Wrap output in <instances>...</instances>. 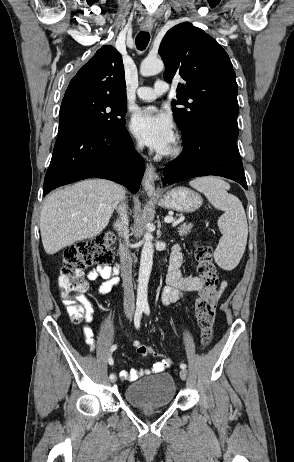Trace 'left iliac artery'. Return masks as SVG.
Instances as JSON below:
<instances>
[{"mask_svg":"<svg viewBox=\"0 0 294 462\" xmlns=\"http://www.w3.org/2000/svg\"><path fill=\"white\" fill-rule=\"evenodd\" d=\"M143 310H144V312H145L146 315H149V314H150V309H149V307H144ZM180 368H181V369H186V364H180Z\"/></svg>","mask_w":294,"mask_h":462,"instance_id":"left-iliac-artery-1","label":"left iliac artery"}]
</instances>
